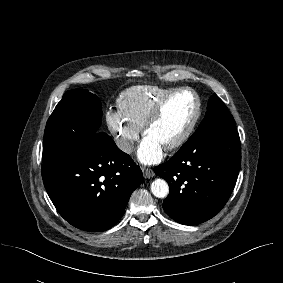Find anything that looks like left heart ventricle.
Listing matches in <instances>:
<instances>
[{
    "label": "left heart ventricle",
    "mask_w": 283,
    "mask_h": 283,
    "mask_svg": "<svg viewBox=\"0 0 283 283\" xmlns=\"http://www.w3.org/2000/svg\"><path fill=\"white\" fill-rule=\"evenodd\" d=\"M195 109V100L190 93L184 92L175 95L164 106L159 117L148 129L146 136L164 148L187 127Z\"/></svg>",
    "instance_id": "1"
}]
</instances>
